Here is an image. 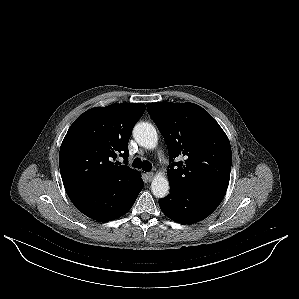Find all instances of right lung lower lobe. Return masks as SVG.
<instances>
[{
  "mask_svg": "<svg viewBox=\"0 0 299 299\" xmlns=\"http://www.w3.org/2000/svg\"><path fill=\"white\" fill-rule=\"evenodd\" d=\"M143 186L141 180L131 190L123 181L110 180L66 189V192L79 211L94 220L105 222L127 213Z\"/></svg>",
  "mask_w": 299,
  "mask_h": 299,
  "instance_id": "98d812e1",
  "label": "right lung lower lobe"
}]
</instances>
